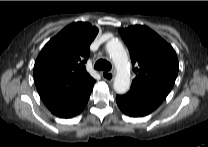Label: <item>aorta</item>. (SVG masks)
<instances>
[{
	"label": "aorta",
	"instance_id": "1",
	"mask_svg": "<svg viewBox=\"0 0 208 147\" xmlns=\"http://www.w3.org/2000/svg\"><path fill=\"white\" fill-rule=\"evenodd\" d=\"M107 52L112 59L117 74L114 80V90L118 94L126 93L130 88V75L128 73V55L122 43L117 40H111L106 45Z\"/></svg>",
	"mask_w": 208,
	"mask_h": 147
}]
</instances>
